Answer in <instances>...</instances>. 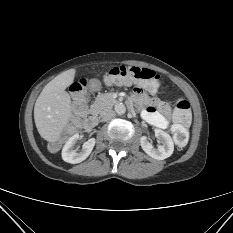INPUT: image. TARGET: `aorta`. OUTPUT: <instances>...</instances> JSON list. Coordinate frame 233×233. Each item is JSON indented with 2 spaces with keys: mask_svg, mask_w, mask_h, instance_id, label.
<instances>
[{
  "mask_svg": "<svg viewBox=\"0 0 233 233\" xmlns=\"http://www.w3.org/2000/svg\"><path fill=\"white\" fill-rule=\"evenodd\" d=\"M115 111L117 112V114L121 115V114L125 113L126 108H125L124 104L119 103V104L116 105Z\"/></svg>",
  "mask_w": 233,
  "mask_h": 233,
  "instance_id": "aorta-1",
  "label": "aorta"
}]
</instances>
